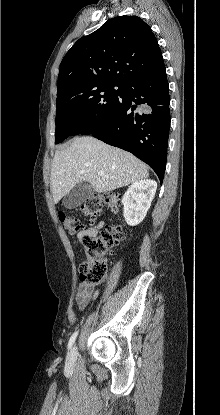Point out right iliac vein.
<instances>
[{
    "mask_svg": "<svg viewBox=\"0 0 220 415\" xmlns=\"http://www.w3.org/2000/svg\"><path fill=\"white\" fill-rule=\"evenodd\" d=\"M76 352H77V347L74 345L71 348V350H70V352L68 353V356H67V363L68 364H71L74 361L75 356H76Z\"/></svg>",
    "mask_w": 220,
    "mask_h": 415,
    "instance_id": "right-iliac-vein-1",
    "label": "right iliac vein"
}]
</instances>
